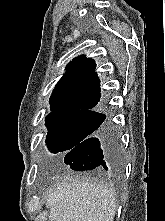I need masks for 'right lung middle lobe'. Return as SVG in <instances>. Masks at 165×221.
<instances>
[{
    "instance_id": "dd1d6c3e",
    "label": "right lung middle lobe",
    "mask_w": 165,
    "mask_h": 221,
    "mask_svg": "<svg viewBox=\"0 0 165 221\" xmlns=\"http://www.w3.org/2000/svg\"><path fill=\"white\" fill-rule=\"evenodd\" d=\"M105 120L101 113L53 112L46 117V144L52 153L69 151L90 136Z\"/></svg>"
}]
</instances>
